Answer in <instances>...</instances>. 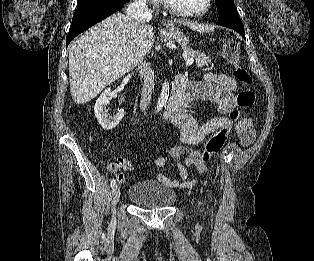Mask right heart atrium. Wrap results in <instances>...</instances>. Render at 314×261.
Here are the masks:
<instances>
[{"mask_svg":"<svg viewBox=\"0 0 314 261\" xmlns=\"http://www.w3.org/2000/svg\"><path fill=\"white\" fill-rule=\"evenodd\" d=\"M144 3L157 4L160 0H139Z\"/></svg>","mask_w":314,"mask_h":261,"instance_id":"obj_1","label":"right heart atrium"}]
</instances>
